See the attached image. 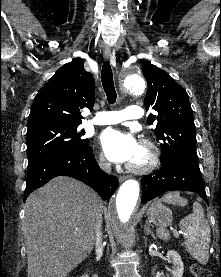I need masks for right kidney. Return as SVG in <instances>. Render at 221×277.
Here are the masks:
<instances>
[{"mask_svg": "<svg viewBox=\"0 0 221 277\" xmlns=\"http://www.w3.org/2000/svg\"><path fill=\"white\" fill-rule=\"evenodd\" d=\"M93 277H98V275L95 274Z\"/></svg>", "mask_w": 221, "mask_h": 277, "instance_id": "ca27d5eb", "label": "right kidney"}]
</instances>
